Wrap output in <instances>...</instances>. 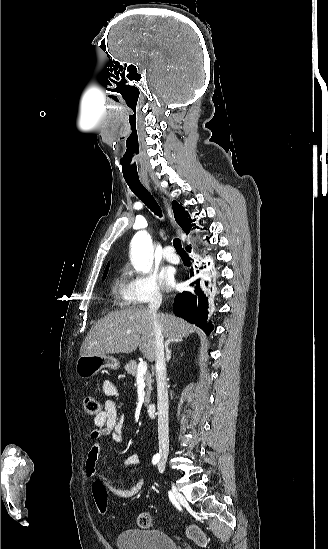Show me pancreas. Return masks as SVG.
<instances>
[{
    "mask_svg": "<svg viewBox=\"0 0 328 549\" xmlns=\"http://www.w3.org/2000/svg\"><path fill=\"white\" fill-rule=\"evenodd\" d=\"M124 369H126L128 375H133V377H137L138 367H137L136 361H129V363H127V365H125ZM152 377H153V375H151L150 371H145L144 381H145V385L147 387L146 397H145V405H149V403H150V395H151V391H153L152 385H151V383H153Z\"/></svg>",
    "mask_w": 328,
    "mask_h": 549,
    "instance_id": "1",
    "label": "pancreas"
}]
</instances>
